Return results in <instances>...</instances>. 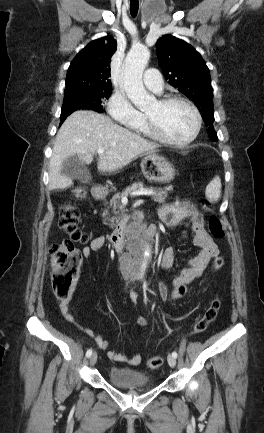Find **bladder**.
<instances>
[{
    "mask_svg": "<svg viewBox=\"0 0 264 433\" xmlns=\"http://www.w3.org/2000/svg\"><path fill=\"white\" fill-rule=\"evenodd\" d=\"M108 379L113 385L124 389L147 390L152 387L148 374L133 369L111 367Z\"/></svg>",
    "mask_w": 264,
    "mask_h": 433,
    "instance_id": "1",
    "label": "bladder"
}]
</instances>
